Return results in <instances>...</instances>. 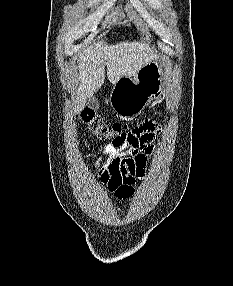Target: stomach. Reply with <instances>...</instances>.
Segmentation results:
<instances>
[{
    "instance_id": "obj_1",
    "label": "stomach",
    "mask_w": 233,
    "mask_h": 286,
    "mask_svg": "<svg viewBox=\"0 0 233 286\" xmlns=\"http://www.w3.org/2000/svg\"><path fill=\"white\" fill-rule=\"evenodd\" d=\"M165 69L164 61L156 59L143 66L133 78H120L110 95L113 110L124 118L142 112L151 100L162 95Z\"/></svg>"
}]
</instances>
